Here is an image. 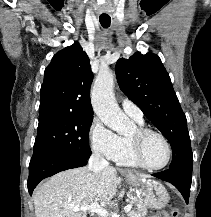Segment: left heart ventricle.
<instances>
[{
    "label": "left heart ventricle",
    "instance_id": "1",
    "mask_svg": "<svg viewBox=\"0 0 211 217\" xmlns=\"http://www.w3.org/2000/svg\"><path fill=\"white\" fill-rule=\"evenodd\" d=\"M167 155V147L159 136L150 135L147 137L143 145V156L147 164L160 166L165 163Z\"/></svg>",
    "mask_w": 211,
    "mask_h": 217
}]
</instances>
